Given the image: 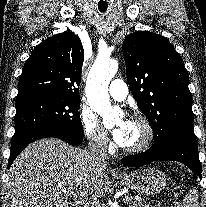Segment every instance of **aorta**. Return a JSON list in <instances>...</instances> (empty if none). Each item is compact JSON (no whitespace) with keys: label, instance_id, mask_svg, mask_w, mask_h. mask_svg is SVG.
<instances>
[{"label":"aorta","instance_id":"obj_1","mask_svg":"<svg viewBox=\"0 0 206 207\" xmlns=\"http://www.w3.org/2000/svg\"><path fill=\"white\" fill-rule=\"evenodd\" d=\"M118 70V62L110 58H97L86 83V97L91 109L100 115L107 125L116 118L110 103L108 85Z\"/></svg>","mask_w":206,"mask_h":207}]
</instances>
